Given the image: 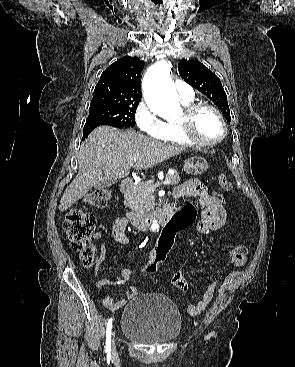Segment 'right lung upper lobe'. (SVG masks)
<instances>
[{
	"instance_id": "1",
	"label": "right lung upper lobe",
	"mask_w": 295,
	"mask_h": 367,
	"mask_svg": "<svg viewBox=\"0 0 295 367\" xmlns=\"http://www.w3.org/2000/svg\"><path fill=\"white\" fill-rule=\"evenodd\" d=\"M143 68L144 62L137 57L126 56L117 60L102 73L94 95L140 100V76Z\"/></svg>"
}]
</instances>
